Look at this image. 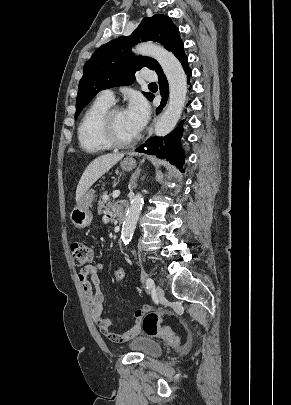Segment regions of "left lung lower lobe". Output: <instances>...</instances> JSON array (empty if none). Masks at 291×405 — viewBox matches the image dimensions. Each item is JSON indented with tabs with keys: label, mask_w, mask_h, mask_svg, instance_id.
<instances>
[{
	"label": "left lung lower lobe",
	"mask_w": 291,
	"mask_h": 405,
	"mask_svg": "<svg viewBox=\"0 0 291 405\" xmlns=\"http://www.w3.org/2000/svg\"><path fill=\"white\" fill-rule=\"evenodd\" d=\"M184 44L180 40L175 47L172 49V53L179 59L184 68V71L188 78L192 75V72L188 65V57L185 55L184 52ZM158 74L159 80V88L160 94L162 96L161 105L157 108L156 113L158 114L163 107L165 106L168 98V82L166 76L163 73L161 67L155 70ZM153 96L150 97L149 100H152ZM183 121L179 124V126L170 134L165 137H152L150 138L143 146L136 149L137 152L146 153L149 155H156L159 158H165L170 161L173 165L177 166L182 172V165L184 164V152L181 148L180 140L182 137V128Z\"/></svg>",
	"instance_id": "obj_1"
}]
</instances>
